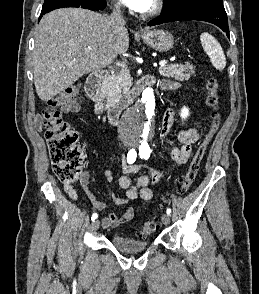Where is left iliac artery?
<instances>
[{
  "instance_id": "1",
  "label": "left iliac artery",
  "mask_w": 259,
  "mask_h": 294,
  "mask_svg": "<svg viewBox=\"0 0 259 294\" xmlns=\"http://www.w3.org/2000/svg\"><path fill=\"white\" fill-rule=\"evenodd\" d=\"M150 153H151V150L148 144L144 143L139 147V155L141 158L148 159L150 157ZM166 213L170 215L171 209L167 208Z\"/></svg>"
}]
</instances>
